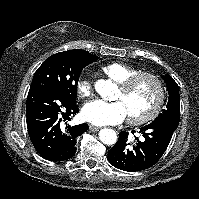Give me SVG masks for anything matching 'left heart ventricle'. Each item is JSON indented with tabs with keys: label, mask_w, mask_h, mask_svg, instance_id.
I'll return each instance as SVG.
<instances>
[{
	"label": "left heart ventricle",
	"mask_w": 199,
	"mask_h": 199,
	"mask_svg": "<svg viewBox=\"0 0 199 199\" xmlns=\"http://www.w3.org/2000/svg\"><path fill=\"white\" fill-rule=\"evenodd\" d=\"M155 97L154 83L145 79L128 92H123L119 88L115 99L123 103L128 116H141L149 111Z\"/></svg>",
	"instance_id": "b2bd125f"
}]
</instances>
